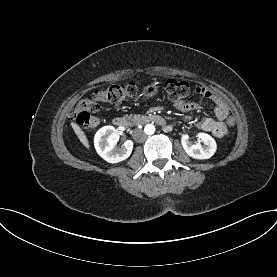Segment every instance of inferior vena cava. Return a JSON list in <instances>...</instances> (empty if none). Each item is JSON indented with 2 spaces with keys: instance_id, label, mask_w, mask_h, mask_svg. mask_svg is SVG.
Returning a JSON list of instances; mask_svg holds the SVG:
<instances>
[{
  "instance_id": "obj_1",
  "label": "inferior vena cava",
  "mask_w": 277,
  "mask_h": 277,
  "mask_svg": "<svg viewBox=\"0 0 277 277\" xmlns=\"http://www.w3.org/2000/svg\"><path fill=\"white\" fill-rule=\"evenodd\" d=\"M133 137L137 142L142 143L146 140L147 135L141 129H135L133 132Z\"/></svg>"
}]
</instances>
